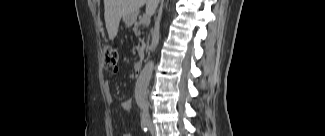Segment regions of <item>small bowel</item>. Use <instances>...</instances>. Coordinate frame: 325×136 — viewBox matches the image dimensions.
<instances>
[{"label":"small bowel","mask_w":325,"mask_h":136,"mask_svg":"<svg viewBox=\"0 0 325 136\" xmlns=\"http://www.w3.org/2000/svg\"><path fill=\"white\" fill-rule=\"evenodd\" d=\"M105 92H106L107 98L111 101L113 98V93H112L108 83L105 85ZM132 106H133V102L131 99H128V100H125L124 102H122V108L126 111H130L132 109Z\"/></svg>","instance_id":"obj_1"}]
</instances>
